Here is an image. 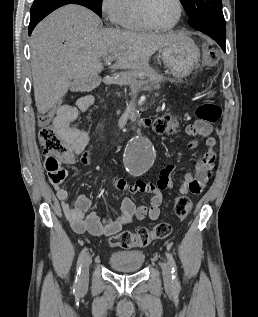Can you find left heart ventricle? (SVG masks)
I'll use <instances>...</instances> for the list:
<instances>
[{
	"label": "left heart ventricle",
	"instance_id": "1",
	"mask_svg": "<svg viewBox=\"0 0 258 317\" xmlns=\"http://www.w3.org/2000/svg\"><path fill=\"white\" fill-rule=\"evenodd\" d=\"M177 15L178 7L174 0H155L148 10V18L155 26H169Z\"/></svg>",
	"mask_w": 258,
	"mask_h": 317
}]
</instances>
